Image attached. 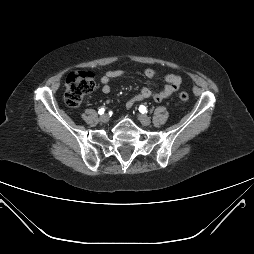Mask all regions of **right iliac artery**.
<instances>
[{"label":"right iliac artery","instance_id":"obj_1","mask_svg":"<svg viewBox=\"0 0 254 254\" xmlns=\"http://www.w3.org/2000/svg\"><path fill=\"white\" fill-rule=\"evenodd\" d=\"M105 112V108H101V109H99V111H98V113L101 115V114H103Z\"/></svg>","mask_w":254,"mask_h":254}]
</instances>
